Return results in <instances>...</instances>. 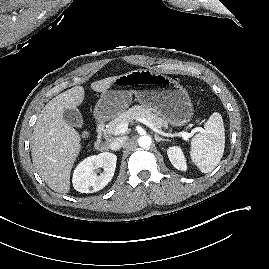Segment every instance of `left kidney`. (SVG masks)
<instances>
[{
    "label": "left kidney",
    "mask_w": 269,
    "mask_h": 269,
    "mask_svg": "<svg viewBox=\"0 0 269 269\" xmlns=\"http://www.w3.org/2000/svg\"><path fill=\"white\" fill-rule=\"evenodd\" d=\"M167 154L170 162L176 169L182 171L187 170L186 160L180 147H169L167 150Z\"/></svg>",
    "instance_id": "obj_1"
}]
</instances>
